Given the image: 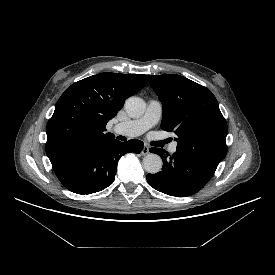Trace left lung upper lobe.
Wrapping results in <instances>:
<instances>
[{"label": "left lung upper lobe", "mask_w": 275, "mask_h": 275, "mask_svg": "<svg viewBox=\"0 0 275 275\" xmlns=\"http://www.w3.org/2000/svg\"><path fill=\"white\" fill-rule=\"evenodd\" d=\"M163 107L161 128L177 135L176 151L217 168L227 153L228 127L206 87L175 74L149 75Z\"/></svg>", "instance_id": "obj_1"}]
</instances>
